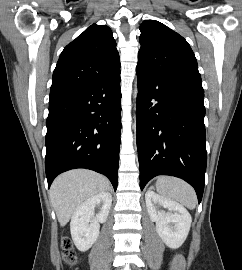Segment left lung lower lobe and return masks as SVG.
<instances>
[{"label":"left lung lower lobe","mask_w":242,"mask_h":270,"mask_svg":"<svg viewBox=\"0 0 242 270\" xmlns=\"http://www.w3.org/2000/svg\"><path fill=\"white\" fill-rule=\"evenodd\" d=\"M136 71L140 188L157 175L176 176L194 187L200 203L207 163L204 92Z\"/></svg>","instance_id":"obj_1"}]
</instances>
